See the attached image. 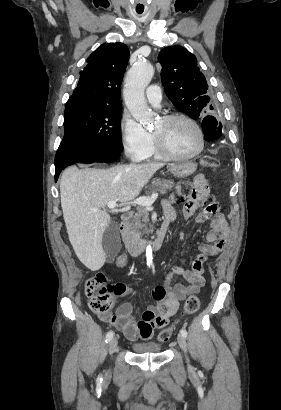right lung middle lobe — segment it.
<instances>
[{
	"label": "right lung middle lobe",
	"mask_w": 281,
	"mask_h": 410,
	"mask_svg": "<svg viewBox=\"0 0 281 410\" xmlns=\"http://www.w3.org/2000/svg\"><path fill=\"white\" fill-rule=\"evenodd\" d=\"M65 107V133L55 162L79 152H122L121 108L84 104Z\"/></svg>",
	"instance_id": "1"
}]
</instances>
